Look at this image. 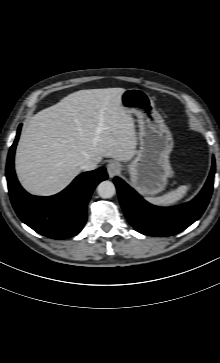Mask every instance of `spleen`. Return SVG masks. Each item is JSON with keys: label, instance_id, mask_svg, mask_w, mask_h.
<instances>
[{"label": "spleen", "instance_id": "spleen-1", "mask_svg": "<svg viewBox=\"0 0 220 363\" xmlns=\"http://www.w3.org/2000/svg\"><path fill=\"white\" fill-rule=\"evenodd\" d=\"M189 189V185L179 186L176 190L159 197H149L147 201L156 206H170L182 199Z\"/></svg>", "mask_w": 220, "mask_h": 363}]
</instances>
